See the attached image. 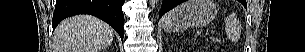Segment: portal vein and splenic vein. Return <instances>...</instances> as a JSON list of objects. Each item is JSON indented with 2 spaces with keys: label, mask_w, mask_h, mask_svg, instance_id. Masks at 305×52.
Wrapping results in <instances>:
<instances>
[{
  "label": "portal vein and splenic vein",
  "mask_w": 305,
  "mask_h": 52,
  "mask_svg": "<svg viewBox=\"0 0 305 52\" xmlns=\"http://www.w3.org/2000/svg\"><path fill=\"white\" fill-rule=\"evenodd\" d=\"M210 34H211V35H213V34H214V31H213V30H211V31H210Z\"/></svg>",
  "instance_id": "1"
}]
</instances>
